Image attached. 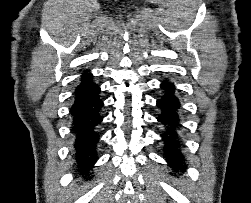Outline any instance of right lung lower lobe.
I'll use <instances>...</instances> for the list:
<instances>
[{"mask_svg": "<svg viewBox=\"0 0 251 203\" xmlns=\"http://www.w3.org/2000/svg\"><path fill=\"white\" fill-rule=\"evenodd\" d=\"M100 87L94 82L93 76L86 71L75 89L73 103L70 108L71 134L74 139L73 156L81 164L84 174L92 169L97 161V130L102 121Z\"/></svg>", "mask_w": 251, "mask_h": 203, "instance_id": "98d812e1", "label": "right lung lower lobe"}]
</instances>
